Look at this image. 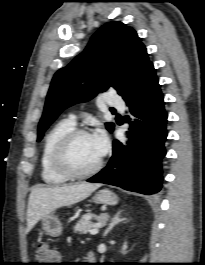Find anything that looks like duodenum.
<instances>
[{"mask_svg":"<svg viewBox=\"0 0 205 265\" xmlns=\"http://www.w3.org/2000/svg\"><path fill=\"white\" fill-rule=\"evenodd\" d=\"M88 261L89 262L95 261V255L92 252L88 253Z\"/></svg>","mask_w":205,"mask_h":265,"instance_id":"obj_1","label":"duodenum"}]
</instances>
